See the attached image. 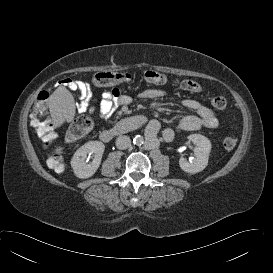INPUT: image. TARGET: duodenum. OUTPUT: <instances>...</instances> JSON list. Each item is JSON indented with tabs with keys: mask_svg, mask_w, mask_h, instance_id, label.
Segmentation results:
<instances>
[{
	"mask_svg": "<svg viewBox=\"0 0 273 273\" xmlns=\"http://www.w3.org/2000/svg\"><path fill=\"white\" fill-rule=\"evenodd\" d=\"M146 118L142 116H132L124 118L115 123L111 128L102 130L99 133V138L105 143L111 142L118 136L129 133L140 126L144 125Z\"/></svg>",
	"mask_w": 273,
	"mask_h": 273,
	"instance_id": "410a0bca",
	"label": "duodenum"
}]
</instances>
